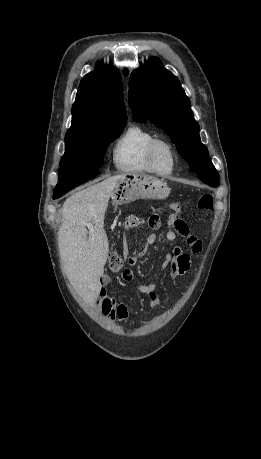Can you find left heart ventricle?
<instances>
[{"label": "left heart ventricle", "instance_id": "obj_1", "mask_svg": "<svg viewBox=\"0 0 261 459\" xmlns=\"http://www.w3.org/2000/svg\"><path fill=\"white\" fill-rule=\"evenodd\" d=\"M172 157L169 150L160 146L156 152V166L162 172H169L172 167Z\"/></svg>", "mask_w": 261, "mask_h": 459}]
</instances>
